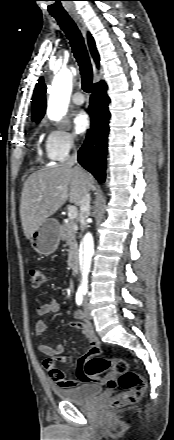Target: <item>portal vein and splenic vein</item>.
<instances>
[{
    "label": "portal vein and splenic vein",
    "instance_id": "1",
    "mask_svg": "<svg viewBox=\"0 0 174 440\" xmlns=\"http://www.w3.org/2000/svg\"><path fill=\"white\" fill-rule=\"evenodd\" d=\"M42 197L39 198V200H41ZM78 215V210L77 207L72 205L68 207V217L71 220H74Z\"/></svg>",
    "mask_w": 174,
    "mask_h": 440
}]
</instances>
